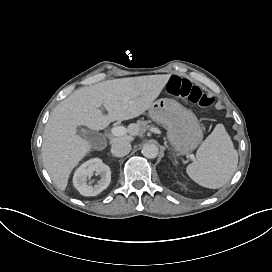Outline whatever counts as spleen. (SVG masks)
Here are the masks:
<instances>
[{
  "label": "spleen",
  "mask_w": 272,
  "mask_h": 272,
  "mask_svg": "<svg viewBox=\"0 0 272 272\" xmlns=\"http://www.w3.org/2000/svg\"><path fill=\"white\" fill-rule=\"evenodd\" d=\"M238 153L222 124H217L196 152V161L186 167L187 175L198 185L217 189L233 176Z\"/></svg>",
  "instance_id": "1"
}]
</instances>
